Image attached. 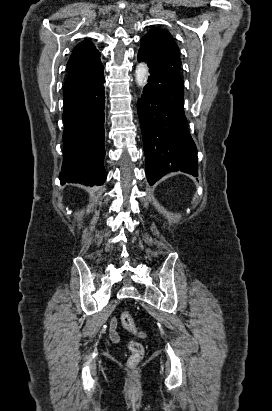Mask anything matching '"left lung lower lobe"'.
Instances as JSON below:
<instances>
[{
	"mask_svg": "<svg viewBox=\"0 0 272 411\" xmlns=\"http://www.w3.org/2000/svg\"><path fill=\"white\" fill-rule=\"evenodd\" d=\"M150 68L138 115L150 185L172 171L198 176L197 150L184 114V82L138 52Z\"/></svg>",
	"mask_w": 272,
	"mask_h": 411,
	"instance_id": "0a47b994",
	"label": "left lung lower lobe"
}]
</instances>
